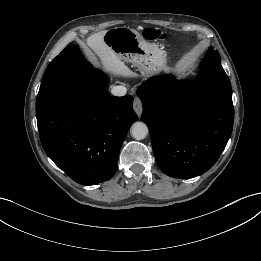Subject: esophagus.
Listing matches in <instances>:
<instances>
[{
	"label": "esophagus",
	"instance_id": "esophagus-1",
	"mask_svg": "<svg viewBox=\"0 0 261 261\" xmlns=\"http://www.w3.org/2000/svg\"><path fill=\"white\" fill-rule=\"evenodd\" d=\"M133 109L138 116H141L143 111V105L141 99L137 96L134 98Z\"/></svg>",
	"mask_w": 261,
	"mask_h": 261
}]
</instances>
